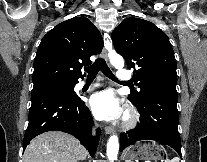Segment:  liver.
<instances>
[{
    "mask_svg": "<svg viewBox=\"0 0 207 162\" xmlns=\"http://www.w3.org/2000/svg\"><path fill=\"white\" fill-rule=\"evenodd\" d=\"M87 151L72 135L49 131L35 137L26 147L23 162H78Z\"/></svg>",
    "mask_w": 207,
    "mask_h": 162,
    "instance_id": "liver-1",
    "label": "liver"
}]
</instances>
